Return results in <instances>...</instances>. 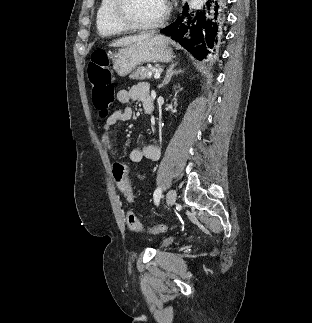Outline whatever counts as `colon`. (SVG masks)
I'll return each instance as SVG.
<instances>
[{
    "mask_svg": "<svg viewBox=\"0 0 312 323\" xmlns=\"http://www.w3.org/2000/svg\"><path fill=\"white\" fill-rule=\"evenodd\" d=\"M110 64L109 55L106 50L100 49L93 53L92 60L88 65V76L90 83L93 86V101L92 104L97 110L107 112L109 106L114 99V83L112 74L108 69ZM129 162L122 160H115L113 166V177H115L118 186L120 187L124 197L129 199L131 197V190L126 180V170H128ZM125 217H127V225L130 231L134 233H141L146 230V227L134 215V210H125ZM167 229L165 224L157 225L151 230L154 233L165 232Z\"/></svg>",
    "mask_w": 312,
    "mask_h": 323,
    "instance_id": "colon-1",
    "label": "colon"
}]
</instances>
